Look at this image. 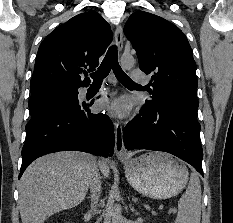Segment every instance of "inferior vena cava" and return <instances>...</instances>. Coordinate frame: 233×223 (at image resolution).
<instances>
[{"mask_svg": "<svg viewBox=\"0 0 233 223\" xmlns=\"http://www.w3.org/2000/svg\"><path fill=\"white\" fill-rule=\"evenodd\" d=\"M97 167L98 165H93V169L91 171L90 181H89L91 197H92L91 209H93V211H96L97 209L98 199L101 193V183H102L100 179L99 169H97Z\"/></svg>", "mask_w": 233, "mask_h": 223, "instance_id": "602c4592", "label": "inferior vena cava"}]
</instances>
